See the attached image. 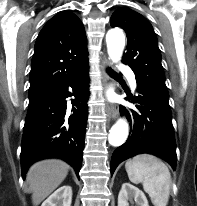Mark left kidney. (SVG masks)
<instances>
[{"instance_id":"1","label":"left kidney","mask_w":197,"mask_h":206,"mask_svg":"<svg viewBox=\"0 0 197 206\" xmlns=\"http://www.w3.org/2000/svg\"><path fill=\"white\" fill-rule=\"evenodd\" d=\"M134 199L138 206H149L145 194L130 183H123L118 195V206H129Z\"/></svg>"}]
</instances>
